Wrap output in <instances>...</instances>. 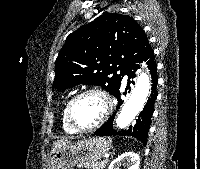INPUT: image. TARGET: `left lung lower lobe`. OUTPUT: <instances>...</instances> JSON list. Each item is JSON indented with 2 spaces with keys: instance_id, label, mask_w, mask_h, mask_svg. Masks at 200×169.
Returning a JSON list of instances; mask_svg holds the SVG:
<instances>
[{
  "instance_id": "0a47b994",
  "label": "left lung lower lobe",
  "mask_w": 200,
  "mask_h": 169,
  "mask_svg": "<svg viewBox=\"0 0 200 169\" xmlns=\"http://www.w3.org/2000/svg\"><path fill=\"white\" fill-rule=\"evenodd\" d=\"M143 61H146V64L148 65V69L150 70V74L152 76V93L150 95V98L146 105L144 106L143 111L138 116V119L136 120V124L133 127H129L127 129H123L121 131H115L113 130L112 123L114 120V114L110 117V119L104 123L98 130L94 132V135L97 136H111V135H121V136H133L137 138L139 141H141L144 145L147 144V136L150 128L151 123V117L152 113L154 111V102L157 96V65L154 60V51L150 47L146 53L140 58L138 63H141ZM140 66L138 64H133L126 72V74L130 78H134L135 72L137 69H139ZM132 83H134L132 81ZM130 81L128 80L127 88L129 87ZM114 96L119 100V102L122 103V100H120V88L115 92ZM120 104L117 106L119 108Z\"/></svg>"
}]
</instances>
